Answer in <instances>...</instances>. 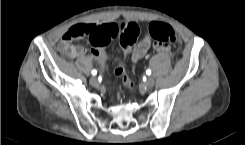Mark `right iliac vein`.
I'll return each mask as SVG.
<instances>
[{
    "instance_id": "1",
    "label": "right iliac vein",
    "mask_w": 245,
    "mask_h": 145,
    "mask_svg": "<svg viewBox=\"0 0 245 145\" xmlns=\"http://www.w3.org/2000/svg\"><path fill=\"white\" fill-rule=\"evenodd\" d=\"M90 84L92 86H98V84H99L98 79L96 77H91L90 78Z\"/></svg>"
}]
</instances>
